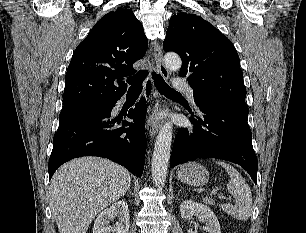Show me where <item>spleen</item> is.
Listing matches in <instances>:
<instances>
[{
    "mask_svg": "<svg viewBox=\"0 0 306 233\" xmlns=\"http://www.w3.org/2000/svg\"><path fill=\"white\" fill-rule=\"evenodd\" d=\"M230 176L227 190L234 196L235 205L223 204L222 210L237 220L246 221L252 213V194L249 185L241 174L225 162H217Z\"/></svg>",
    "mask_w": 306,
    "mask_h": 233,
    "instance_id": "spleen-1",
    "label": "spleen"
}]
</instances>
